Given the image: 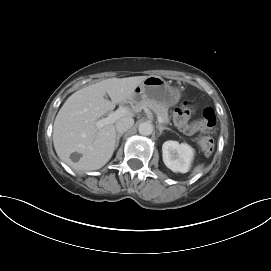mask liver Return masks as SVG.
Returning a JSON list of instances; mask_svg holds the SVG:
<instances>
[{
	"label": "liver",
	"instance_id": "liver-1",
	"mask_svg": "<svg viewBox=\"0 0 271 271\" xmlns=\"http://www.w3.org/2000/svg\"><path fill=\"white\" fill-rule=\"evenodd\" d=\"M148 76L109 78L73 93L59 110L53 126V143L58 157L74 170L102 168L112 157L116 144L115 124L97 129V119L116 104L134 100L135 89ZM108 94L111 101L105 99ZM127 112L120 118L131 117ZM82 156L73 162L70 155Z\"/></svg>",
	"mask_w": 271,
	"mask_h": 271
}]
</instances>
